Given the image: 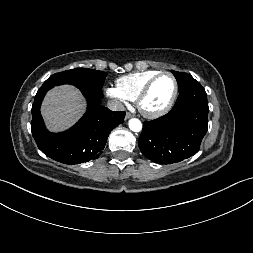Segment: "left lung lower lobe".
Here are the masks:
<instances>
[{
  "mask_svg": "<svg viewBox=\"0 0 253 253\" xmlns=\"http://www.w3.org/2000/svg\"><path fill=\"white\" fill-rule=\"evenodd\" d=\"M207 94L199 82L179 92L172 110L145 121L138 140L140 151L153 162L172 164L196 154L207 132Z\"/></svg>",
  "mask_w": 253,
  "mask_h": 253,
  "instance_id": "left-lung-lower-lobe-1",
  "label": "left lung lower lobe"
}]
</instances>
